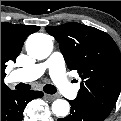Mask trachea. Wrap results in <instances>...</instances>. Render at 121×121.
I'll return each instance as SVG.
<instances>
[{
    "mask_svg": "<svg viewBox=\"0 0 121 121\" xmlns=\"http://www.w3.org/2000/svg\"><path fill=\"white\" fill-rule=\"evenodd\" d=\"M16 89L17 90H29L30 89V85L28 84H24V83H19L17 86H16ZM44 91L48 94H54L57 92V89L53 86V85H50V84H47L43 87Z\"/></svg>",
    "mask_w": 121,
    "mask_h": 121,
    "instance_id": "obj_1",
    "label": "trachea"
}]
</instances>
